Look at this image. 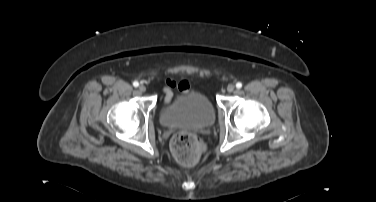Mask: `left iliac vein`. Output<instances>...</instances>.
<instances>
[{
    "instance_id": "4c4485c4",
    "label": "left iliac vein",
    "mask_w": 376,
    "mask_h": 202,
    "mask_svg": "<svg viewBox=\"0 0 376 202\" xmlns=\"http://www.w3.org/2000/svg\"><path fill=\"white\" fill-rule=\"evenodd\" d=\"M234 90H235V86H234L233 84H229V85L227 86V91H228L229 93L233 92Z\"/></svg>"
}]
</instances>
